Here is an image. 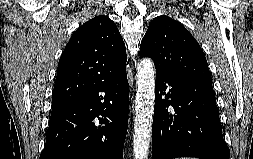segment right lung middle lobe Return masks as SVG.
Wrapping results in <instances>:
<instances>
[{
    "label": "right lung middle lobe",
    "mask_w": 253,
    "mask_h": 159,
    "mask_svg": "<svg viewBox=\"0 0 253 159\" xmlns=\"http://www.w3.org/2000/svg\"><path fill=\"white\" fill-rule=\"evenodd\" d=\"M65 104H53V106H52V111L53 110H57V109H59V108H61L62 106H64Z\"/></svg>",
    "instance_id": "dd1d6c3e"
}]
</instances>
